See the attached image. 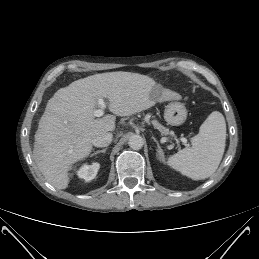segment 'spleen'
I'll list each match as a JSON object with an SVG mask.
<instances>
[{
	"label": "spleen",
	"mask_w": 259,
	"mask_h": 259,
	"mask_svg": "<svg viewBox=\"0 0 259 259\" xmlns=\"http://www.w3.org/2000/svg\"><path fill=\"white\" fill-rule=\"evenodd\" d=\"M191 141V147L170 156L167 164L193 180L206 179L217 170L225 150L226 123L222 113L212 112Z\"/></svg>",
	"instance_id": "1"
}]
</instances>
